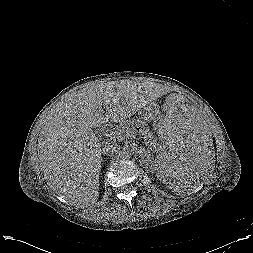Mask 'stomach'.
<instances>
[{"mask_svg":"<svg viewBox=\"0 0 253 253\" xmlns=\"http://www.w3.org/2000/svg\"><path fill=\"white\" fill-rule=\"evenodd\" d=\"M152 110H153V105H148L145 108H142L139 111L141 118L145 121L152 120L154 118V114Z\"/></svg>","mask_w":253,"mask_h":253,"instance_id":"0dacf381","label":"stomach"}]
</instances>
